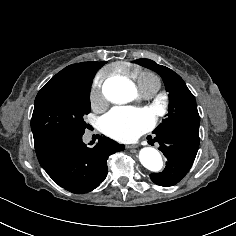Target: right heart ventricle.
Listing matches in <instances>:
<instances>
[{"mask_svg": "<svg viewBox=\"0 0 236 236\" xmlns=\"http://www.w3.org/2000/svg\"><path fill=\"white\" fill-rule=\"evenodd\" d=\"M134 84L140 93L156 92L160 88V81L156 75L148 71H135L127 76V80Z\"/></svg>", "mask_w": 236, "mask_h": 236, "instance_id": "1", "label": "right heart ventricle"}]
</instances>
